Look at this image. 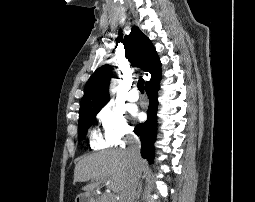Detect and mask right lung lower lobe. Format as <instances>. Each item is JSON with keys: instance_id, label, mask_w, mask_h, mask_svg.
<instances>
[{"instance_id": "98d812e1", "label": "right lung lower lobe", "mask_w": 255, "mask_h": 202, "mask_svg": "<svg viewBox=\"0 0 255 202\" xmlns=\"http://www.w3.org/2000/svg\"><path fill=\"white\" fill-rule=\"evenodd\" d=\"M159 90V82L145 86V91L149 98V107L147 110L148 119L144 123L137 124L134 128V133L140 137L142 147L141 154L150 163L154 158V142L156 140L157 130V91Z\"/></svg>"}]
</instances>
